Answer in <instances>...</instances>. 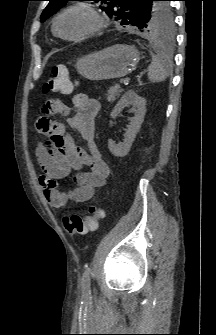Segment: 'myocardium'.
<instances>
[{
  "label": "myocardium",
  "instance_id": "myocardium-1",
  "mask_svg": "<svg viewBox=\"0 0 216 335\" xmlns=\"http://www.w3.org/2000/svg\"><path fill=\"white\" fill-rule=\"evenodd\" d=\"M74 10H79L83 11L86 14H88L92 20L91 26L85 30L84 32L72 36V37H66L60 34L58 31V22L60 18L66 14L67 12L74 11ZM106 25L105 18L102 16V14L93 6L85 4V3H75L70 6H67L64 8L62 11H60L56 17L54 18L53 24H52V30L57 35L59 38L66 40V41H79L82 39H85L98 31L102 30Z\"/></svg>",
  "mask_w": 216,
  "mask_h": 335
}]
</instances>
